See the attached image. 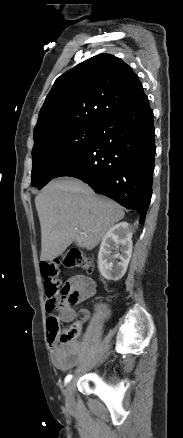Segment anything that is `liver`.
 Listing matches in <instances>:
<instances>
[{
	"instance_id": "obj_1",
	"label": "liver",
	"mask_w": 183,
	"mask_h": 438,
	"mask_svg": "<svg viewBox=\"0 0 183 438\" xmlns=\"http://www.w3.org/2000/svg\"><path fill=\"white\" fill-rule=\"evenodd\" d=\"M35 205L42 261H52L73 241L92 250L125 215L119 204L96 195L88 184L72 177L52 180L36 196Z\"/></svg>"
}]
</instances>
